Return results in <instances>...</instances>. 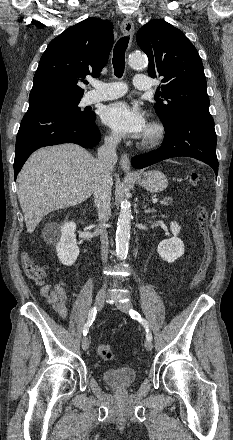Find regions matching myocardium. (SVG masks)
<instances>
[{
    "instance_id": "obj_1",
    "label": "myocardium",
    "mask_w": 233,
    "mask_h": 440,
    "mask_svg": "<svg viewBox=\"0 0 233 440\" xmlns=\"http://www.w3.org/2000/svg\"><path fill=\"white\" fill-rule=\"evenodd\" d=\"M165 136V127L156 121H153L147 127V130L141 141V145L145 148H152L158 145Z\"/></svg>"
}]
</instances>
